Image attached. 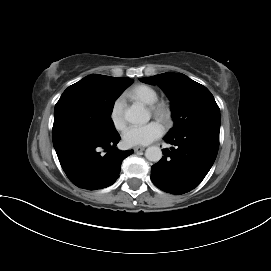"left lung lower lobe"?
<instances>
[{"instance_id": "obj_1", "label": "left lung lower lobe", "mask_w": 271, "mask_h": 271, "mask_svg": "<svg viewBox=\"0 0 271 271\" xmlns=\"http://www.w3.org/2000/svg\"><path fill=\"white\" fill-rule=\"evenodd\" d=\"M219 130L200 127L166 135L164 140L175 145L164 149L162 159L151 168V180L159 189L171 194H184L197 187L212 167L219 148Z\"/></svg>"}]
</instances>
